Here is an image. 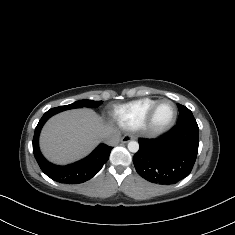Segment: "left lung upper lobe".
Here are the masks:
<instances>
[{
  "instance_id": "1",
  "label": "left lung upper lobe",
  "mask_w": 235,
  "mask_h": 235,
  "mask_svg": "<svg viewBox=\"0 0 235 235\" xmlns=\"http://www.w3.org/2000/svg\"><path fill=\"white\" fill-rule=\"evenodd\" d=\"M179 118L177 125L198 126L192 112L185 106L178 104Z\"/></svg>"
}]
</instances>
